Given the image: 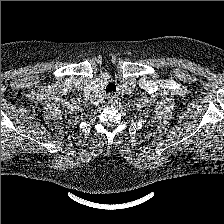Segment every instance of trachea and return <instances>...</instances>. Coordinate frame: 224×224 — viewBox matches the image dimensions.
<instances>
[{"mask_svg":"<svg viewBox=\"0 0 224 224\" xmlns=\"http://www.w3.org/2000/svg\"><path fill=\"white\" fill-rule=\"evenodd\" d=\"M107 94H112L114 92H116V85L113 82H110L105 89Z\"/></svg>","mask_w":224,"mask_h":224,"instance_id":"1","label":"trachea"}]
</instances>
